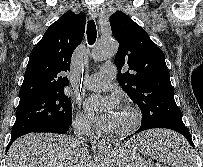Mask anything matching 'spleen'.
Segmentation results:
<instances>
[{
  "label": "spleen",
  "mask_w": 203,
  "mask_h": 167,
  "mask_svg": "<svg viewBox=\"0 0 203 167\" xmlns=\"http://www.w3.org/2000/svg\"><path fill=\"white\" fill-rule=\"evenodd\" d=\"M141 152L172 167H196L188 144L181 136L171 132H153L145 140Z\"/></svg>",
  "instance_id": "3e777b00"
}]
</instances>
